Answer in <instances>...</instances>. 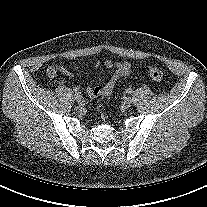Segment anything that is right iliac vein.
<instances>
[{
	"mask_svg": "<svg viewBox=\"0 0 207 207\" xmlns=\"http://www.w3.org/2000/svg\"><path fill=\"white\" fill-rule=\"evenodd\" d=\"M74 98H75V101L77 103H82L83 102V97L80 94H75Z\"/></svg>",
	"mask_w": 207,
	"mask_h": 207,
	"instance_id": "right-iliac-vein-1",
	"label": "right iliac vein"
}]
</instances>
